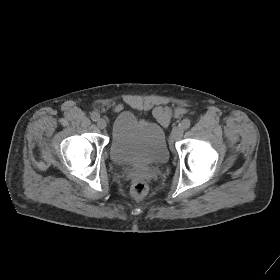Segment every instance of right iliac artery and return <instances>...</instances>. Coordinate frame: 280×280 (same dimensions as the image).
<instances>
[{"mask_svg":"<svg viewBox=\"0 0 280 280\" xmlns=\"http://www.w3.org/2000/svg\"><path fill=\"white\" fill-rule=\"evenodd\" d=\"M91 119H92L93 121H98V120L100 119V114L97 113V112H92V113H91Z\"/></svg>","mask_w":280,"mask_h":280,"instance_id":"right-iliac-artery-1","label":"right iliac artery"}]
</instances>
